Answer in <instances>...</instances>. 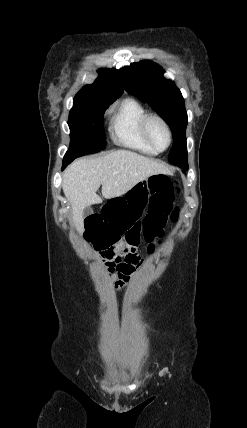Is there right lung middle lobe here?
<instances>
[{
  "label": "right lung middle lobe",
  "mask_w": 247,
  "mask_h": 428,
  "mask_svg": "<svg viewBox=\"0 0 247 428\" xmlns=\"http://www.w3.org/2000/svg\"><path fill=\"white\" fill-rule=\"evenodd\" d=\"M111 102L89 96H75L69 114L70 148L64 159L77 158L105 148L103 116Z\"/></svg>",
  "instance_id": "right-lung-middle-lobe-1"
}]
</instances>
